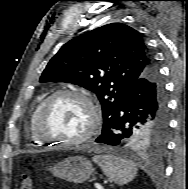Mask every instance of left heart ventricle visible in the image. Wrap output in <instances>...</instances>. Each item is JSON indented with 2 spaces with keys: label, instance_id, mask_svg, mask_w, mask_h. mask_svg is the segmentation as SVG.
Wrapping results in <instances>:
<instances>
[{
  "label": "left heart ventricle",
  "instance_id": "left-heart-ventricle-1",
  "mask_svg": "<svg viewBox=\"0 0 188 189\" xmlns=\"http://www.w3.org/2000/svg\"><path fill=\"white\" fill-rule=\"evenodd\" d=\"M90 122L88 106L82 100L63 96L55 100L43 121V134L51 138L71 139L84 133Z\"/></svg>",
  "mask_w": 188,
  "mask_h": 189
}]
</instances>
